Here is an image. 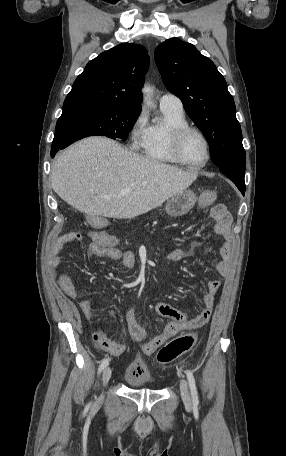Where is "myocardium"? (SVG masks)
<instances>
[{
    "instance_id": "myocardium-1",
    "label": "myocardium",
    "mask_w": 286,
    "mask_h": 456,
    "mask_svg": "<svg viewBox=\"0 0 286 456\" xmlns=\"http://www.w3.org/2000/svg\"><path fill=\"white\" fill-rule=\"evenodd\" d=\"M189 132H195L197 133L205 142L206 145V158L203 162L199 164H194L189 161H187L184 156L182 155L181 152V142L186 134ZM170 150L174 157L182 164L187 165L191 168L199 169L204 167L210 160L211 158V144L206 136V134L199 128L191 125H182L175 127L171 130L170 132Z\"/></svg>"
}]
</instances>
